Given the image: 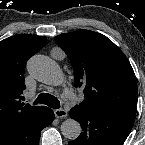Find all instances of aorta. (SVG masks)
Listing matches in <instances>:
<instances>
[{
    "mask_svg": "<svg viewBox=\"0 0 145 145\" xmlns=\"http://www.w3.org/2000/svg\"><path fill=\"white\" fill-rule=\"evenodd\" d=\"M28 71L38 81L48 85H58L63 76L59 66L50 58L43 55H35L28 62ZM62 135L74 140L81 134L80 123L72 118L66 119L61 124Z\"/></svg>",
    "mask_w": 145,
    "mask_h": 145,
    "instance_id": "aorta-1",
    "label": "aorta"
}]
</instances>
